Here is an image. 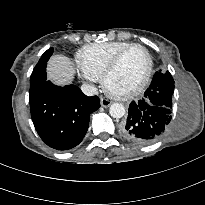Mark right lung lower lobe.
Listing matches in <instances>:
<instances>
[{"label":"right lung lower lobe","mask_w":205,"mask_h":205,"mask_svg":"<svg viewBox=\"0 0 205 205\" xmlns=\"http://www.w3.org/2000/svg\"><path fill=\"white\" fill-rule=\"evenodd\" d=\"M53 51L49 48L42 55L31 74L30 110L43 142L57 150H68L82 141L100 99L86 96L75 85L60 87L46 80V65Z\"/></svg>","instance_id":"obj_1"}]
</instances>
